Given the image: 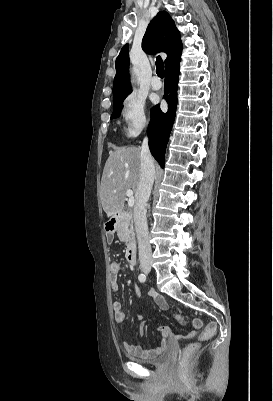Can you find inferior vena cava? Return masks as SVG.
<instances>
[{
  "mask_svg": "<svg viewBox=\"0 0 273 401\" xmlns=\"http://www.w3.org/2000/svg\"><path fill=\"white\" fill-rule=\"evenodd\" d=\"M140 160V180L136 190L137 201L134 207V223L138 241L139 259L140 261H148V259H151L152 253L148 239L146 205L149 201V196L151 194L155 178V166L149 150L147 136H145L142 142Z\"/></svg>",
  "mask_w": 273,
  "mask_h": 401,
  "instance_id": "inferior-vena-cava-1",
  "label": "inferior vena cava"
}]
</instances>
